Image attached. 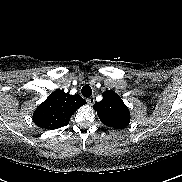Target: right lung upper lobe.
<instances>
[{"mask_svg": "<svg viewBox=\"0 0 182 182\" xmlns=\"http://www.w3.org/2000/svg\"><path fill=\"white\" fill-rule=\"evenodd\" d=\"M84 104L86 101L80 95H70L58 89L37 107L33 122L47 130L66 126L73 113Z\"/></svg>", "mask_w": 182, "mask_h": 182, "instance_id": "cb5924a9", "label": "right lung upper lobe"}]
</instances>
